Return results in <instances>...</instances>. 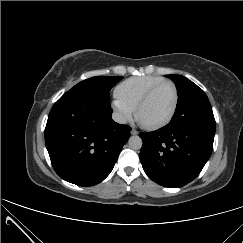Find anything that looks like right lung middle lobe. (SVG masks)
Returning <instances> with one entry per match:
<instances>
[{"mask_svg": "<svg viewBox=\"0 0 243 243\" xmlns=\"http://www.w3.org/2000/svg\"><path fill=\"white\" fill-rule=\"evenodd\" d=\"M121 79L122 77H115V76H96L81 81L68 92L84 93L87 95H91L102 102L110 103L109 101L110 89L114 85H116Z\"/></svg>", "mask_w": 243, "mask_h": 243, "instance_id": "right-lung-middle-lobe-1", "label": "right lung middle lobe"}]
</instances>
